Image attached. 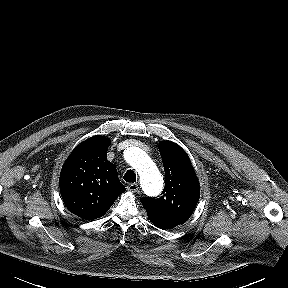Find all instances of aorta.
Wrapping results in <instances>:
<instances>
[{
	"label": "aorta",
	"mask_w": 288,
	"mask_h": 288,
	"mask_svg": "<svg viewBox=\"0 0 288 288\" xmlns=\"http://www.w3.org/2000/svg\"><path fill=\"white\" fill-rule=\"evenodd\" d=\"M126 160L137 170L143 189L150 195H157L163 188V178L149 156L138 147L126 151Z\"/></svg>",
	"instance_id": "762f6f07"
}]
</instances>
